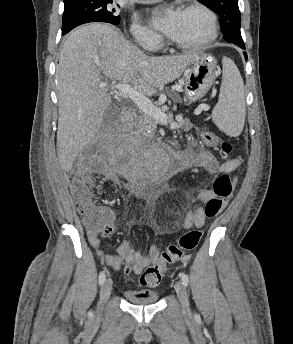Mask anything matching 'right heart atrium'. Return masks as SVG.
<instances>
[{
    "label": "right heart atrium",
    "instance_id": "d8ad5b80",
    "mask_svg": "<svg viewBox=\"0 0 293 344\" xmlns=\"http://www.w3.org/2000/svg\"><path fill=\"white\" fill-rule=\"evenodd\" d=\"M129 31L136 45L144 50H155L162 43V39L158 34L136 21L130 25Z\"/></svg>",
    "mask_w": 293,
    "mask_h": 344
}]
</instances>
